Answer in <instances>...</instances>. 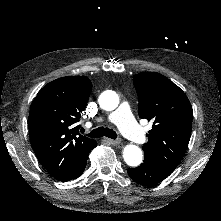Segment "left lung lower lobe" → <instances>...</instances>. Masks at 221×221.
I'll return each mask as SVG.
<instances>
[{"instance_id": "obj_1", "label": "left lung lower lobe", "mask_w": 221, "mask_h": 221, "mask_svg": "<svg viewBox=\"0 0 221 221\" xmlns=\"http://www.w3.org/2000/svg\"><path fill=\"white\" fill-rule=\"evenodd\" d=\"M170 174L153 163L148 157H145L144 162L139 167L128 170V175L132 180L145 186H153L167 178Z\"/></svg>"}]
</instances>
